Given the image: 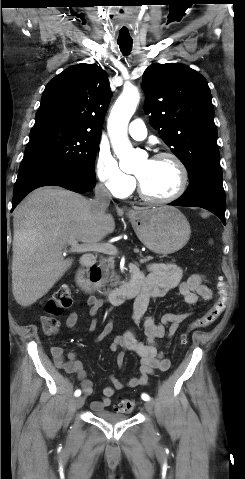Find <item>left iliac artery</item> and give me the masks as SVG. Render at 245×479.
I'll use <instances>...</instances> for the list:
<instances>
[{
  "label": "left iliac artery",
  "mask_w": 245,
  "mask_h": 479,
  "mask_svg": "<svg viewBox=\"0 0 245 479\" xmlns=\"http://www.w3.org/2000/svg\"><path fill=\"white\" fill-rule=\"evenodd\" d=\"M141 398H142L143 400H145V401L150 400V397H149L147 394H145V393L141 395Z\"/></svg>",
  "instance_id": "1"
}]
</instances>
